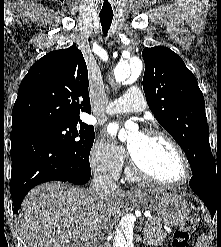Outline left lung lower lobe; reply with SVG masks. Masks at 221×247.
Segmentation results:
<instances>
[{
  "mask_svg": "<svg viewBox=\"0 0 221 247\" xmlns=\"http://www.w3.org/2000/svg\"><path fill=\"white\" fill-rule=\"evenodd\" d=\"M191 189L202 199L211 213V218L221 208V166L209 161L200 170L193 172Z\"/></svg>",
  "mask_w": 221,
  "mask_h": 247,
  "instance_id": "1",
  "label": "left lung lower lobe"
}]
</instances>
